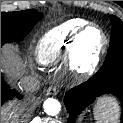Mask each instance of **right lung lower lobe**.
<instances>
[{
    "label": "right lung lower lobe",
    "instance_id": "1",
    "mask_svg": "<svg viewBox=\"0 0 123 123\" xmlns=\"http://www.w3.org/2000/svg\"><path fill=\"white\" fill-rule=\"evenodd\" d=\"M22 99V95L19 94L17 91H9L8 86L6 85L5 81L1 76V105L7 100L12 98Z\"/></svg>",
    "mask_w": 123,
    "mask_h": 123
}]
</instances>
